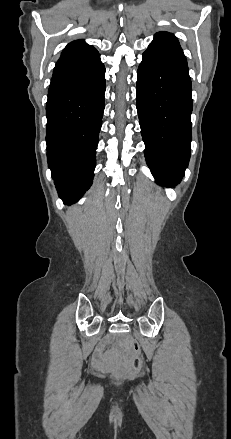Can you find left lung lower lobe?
<instances>
[{"label":"left lung lower lobe","mask_w":231,"mask_h":439,"mask_svg":"<svg viewBox=\"0 0 231 439\" xmlns=\"http://www.w3.org/2000/svg\"><path fill=\"white\" fill-rule=\"evenodd\" d=\"M136 107L145 158L158 183L184 176L192 139V87L186 57L148 48L137 71Z\"/></svg>","instance_id":"left-lung-lower-lobe-1"}]
</instances>
